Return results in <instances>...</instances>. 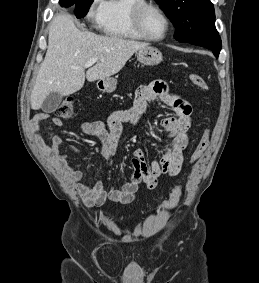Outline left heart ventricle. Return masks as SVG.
I'll return each mask as SVG.
<instances>
[{"mask_svg": "<svg viewBox=\"0 0 259 283\" xmlns=\"http://www.w3.org/2000/svg\"><path fill=\"white\" fill-rule=\"evenodd\" d=\"M145 27L148 34L155 38L162 37L166 32V22L156 11H148L145 15Z\"/></svg>", "mask_w": 259, "mask_h": 283, "instance_id": "1", "label": "left heart ventricle"}]
</instances>
